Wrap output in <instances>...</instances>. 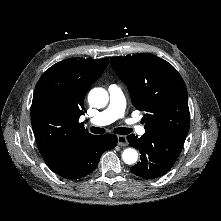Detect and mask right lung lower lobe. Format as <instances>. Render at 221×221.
<instances>
[{"label":"right lung lower lobe","mask_w":221,"mask_h":221,"mask_svg":"<svg viewBox=\"0 0 221 221\" xmlns=\"http://www.w3.org/2000/svg\"><path fill=\"white\" fill-rule=\"evenodd\" d=\"M117 145L114 134L93 136L72 152L59 165L50 167L57 175L66 179H78L90 174L97 166L101 155Z\"/></svg>","instance_id":"1"}]
</instances>
